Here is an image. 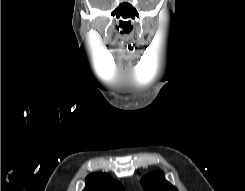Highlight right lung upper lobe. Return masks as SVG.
<instances>
[{"label":"right lung upper lobe","mask_w":245,"mask_h":191,"mask_svg":"<svg viewBox=\"0 0 245 191\" xmlns=\"http://www.w3.org/2000/svg\"><path fill=\"white\" fill-rule=\"evenodd\" d=\"M83 191H122V186L108 174L96 173L87 176Z\"/></svg>","instance_id":"cb5924a9"}]
</instances>
